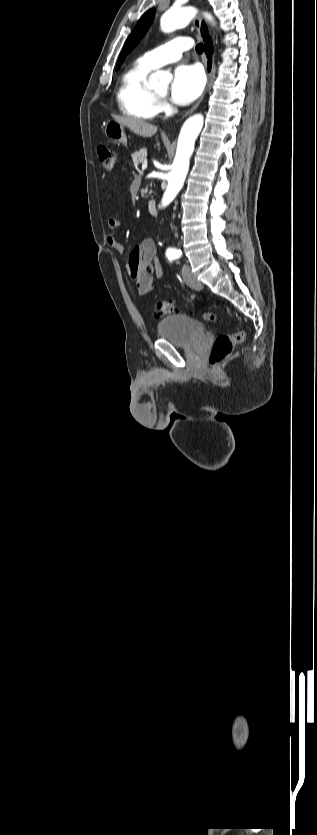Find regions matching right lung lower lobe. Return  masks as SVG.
<instances>
[{
    "label": "right lung lower lobe",
    "mask_w": 317,
    "mask_h": 835,
    "mask_svg": "<svg viewBox=\"0 0 317 835\" xmlns=\"http://www.w3.org/2000/svg\"><path fill=\"white\" fill-rule=\"evenodd\" d=\"M202 37H203L204 42H205V53H206L207 57H209V68H210L211 54L213 52V45H212L211 38L209 37L208 32H207L206 29L202 33Z\"/></svg>",
    "instance_id": "obj_1"
}]
</instances>
